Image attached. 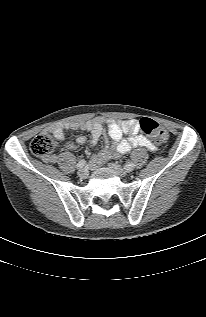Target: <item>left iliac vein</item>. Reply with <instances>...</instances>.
Instances as JSON below:
<instances>
[{
    "mask_svg": "<svg viewBox=\"0 0 206 317\" xmlns=\"http://www.w3.org/2000/svg\"><path fill=\"white\" fill-rule=\"evenodd\" d=\"M109 167L114 170L119 176L125 177L128 174V171L122 168L117 163H109Z\"/></svg>",
    "mask_w": 206,
    "mask_h": 317,
    "instance_id": "left-iliac-vein-1",
    "label": "left iliac vein"
}]
</instances>
